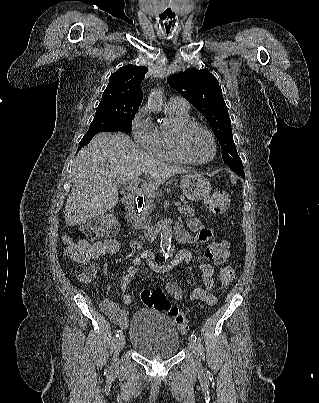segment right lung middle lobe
Returning <instances> with one entry per match:
<instances>
[{
    "mask_svg": "<svg viewBox=\"0 0 319 403\" xmlns=\"http://www.w3.org/2000/svg\"><path fill=\"white\" fill-rule=\"evenodd\" d=\"M138 108L131 105L104 103L99 104L89 130L121 129L131 131L132 119Z\"/></svg>",
    "mask_w": 319,
    "mask_h": 403,
    "instance_id": "dd1d6c3e",
    "label": "right lung middle lobe"
}]
</instances>
